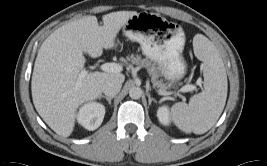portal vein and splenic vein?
<instances>
[{"mask_svg":"<svg viewBox=\"0 0 267 166\" xmlns=\"http://www.w3.org/2000/svg\"><path fill=\"white\" fill-rule=\"evenodd\" d=\"M101 70L108 73H120L122 71V66L118 63H104L100 66ZM87 75V71H82L79 74V79L81 80ZM197 91V87L195 85H186L182 87L180 92H188V91ZM165 94V93H162Z\"/></svg>","mask_w":267,"mask_h":166,"instance_id":"1","label":"portal vein and splenic vein"}]
</instances>
